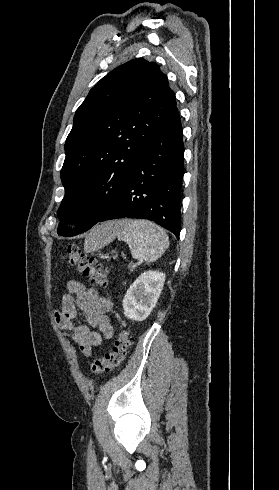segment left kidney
<instances>
[{"mask_svg": "<svg viewBox=\"0 0 279 490\" xmlns=\"http://www.w3.org/2000/svg\"><path fill=\"white\" fill-rule=\"evenodd\" d=\"M165 274L163 272H144L130 288L122 302L124 316L128 320L143 322L155 308L163 290Z\"/></svg>", "mask_w": 279, "mask_h": 490, "instance_id": "left-kidney-1", "label": "left kidney"}]
</instances>
